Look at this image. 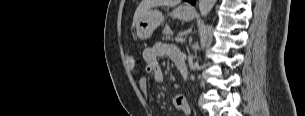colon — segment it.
Returning a JSON list of instances; mask_svg holds the SVG:
<instances>
[{"label": "colon", "mask_w": 305, "mask_h": 116, "mask_svg": "<svg viewBox=\"0 0 305 116\" xmlns=\"http://www.w3.org/2000/svg\"><path fill=\"white\" fill-rule=\"evenodd\" d=\"M126 59L129 69L133 70L135 68L134 58L130 54H128Z\"/></svg>", "instance_id": "5ec220e1"}]
</instances>
